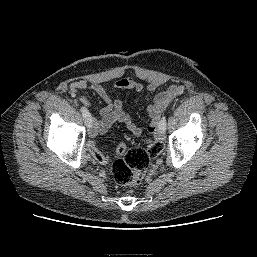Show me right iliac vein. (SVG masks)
<instances>
[{
  "mask_svg": "<svg viewBox=\"0 0 257 257\" xmlns=\"http://www.w3.org/2000/svg\"><path fill=\"white\" fill-rule=\"evenodd\" d=\"M91 120H92V119H91ZM91 127H92V126H91ZM89 136H90L91 138H93V137L96 136L95 131H94L93 128H90V129H89Z\"/></svg>",
  "mask_w": 257,
  "mask_h": 257,
  "instance_id": "right-iliac-vein-1",
  "label": "right iliac vein"
}]
</instances>
